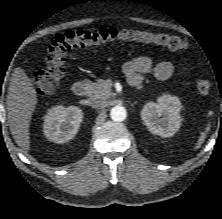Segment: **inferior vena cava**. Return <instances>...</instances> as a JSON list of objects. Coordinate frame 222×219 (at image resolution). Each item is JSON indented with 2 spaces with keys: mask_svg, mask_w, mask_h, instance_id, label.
Masks as SVG:
<instances>
[{
  "mask_svg": "<svg viewBox=\"0 0 222 219\" xmlns=\"http://www.w3.org/2000/svg\"><path fill=\"white\" fill-rule=\"evenodd\" d=\"M89 105L92 106L93 108L100 109L103 107L104 102L98 99H90Z\"/></svg>",
  "mask_w": 222,
  "mask_h": 219,
  "instance_id": "obj_1",
  "label": "inferior vena cava"
}]
</instances>
